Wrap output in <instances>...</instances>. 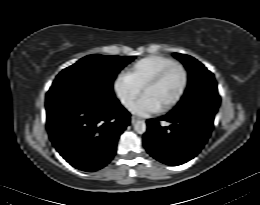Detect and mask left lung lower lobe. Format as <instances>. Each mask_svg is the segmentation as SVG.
Here are the masks:
<instances>
[{"mask_svg":"<svg viewBox=\"0 0 260 205\" xmlns=\"http://www.w3.org/2000/svg\"><path fill=\"white\" fill-rule=\"evenodd\" d=\"M159 120L171 123L162 127ZM214 117L197 111L170 112L160 119L147 120L143 136L148 153L167 165H180L194 158L207 142Z\"/></svg>","mask_w":260,"mask_h":205,"instance_id":"left-lung-lower-lobe-1","label":"left lung lower lobe"}]
</instances>
